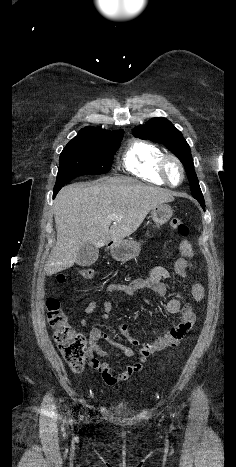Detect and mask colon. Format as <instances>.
<instances>
[{"instance_id": "5ec220e1", "label": "colon", "mask_w": 236, "mask_h": 467, "mask_svg": "<svg viewBox=\"0 0 236 467\" xmlns=\"http://www.w3.org/2000/svg\"><path fill=\"white\" fill-rule=\"evenodd\" d=\"M170 227L180 237L185 238L189 234L187 225L181 219H171ZM93 276L94 270L90 267H82L78 270V277L81 279H91ZM57 282L63 283L64 278L59 277ZM46 305L48 322L60 354L73 372L83 371L89 365L90 359L86 337L71 327L68 315L63 311L57 298H48Z\"/></svg>"}]
</instances>
